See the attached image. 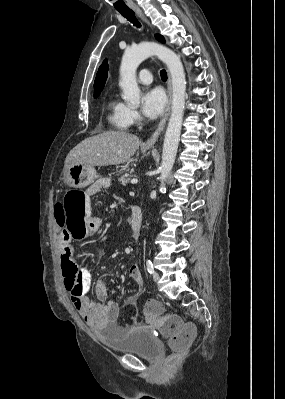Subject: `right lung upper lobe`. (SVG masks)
<instances>
[{"label":"right lung upper lobe","mask_w":285,"mask_h":399,"mask_svg":"<svg viewBox=\"0 0 285 399\" xmlns=\"http://www.w3.org/2000/svg\"><path fill=\"white\" fill-rule=\"evenodd\" d=\"M107 76H108V64L107 61H104L103 64L99 67V70L95 78L94 95L100 94V92L103 90Z\"/></svg>","instance_id":"right-lung-upper-lobe-1"}]
</instances>
